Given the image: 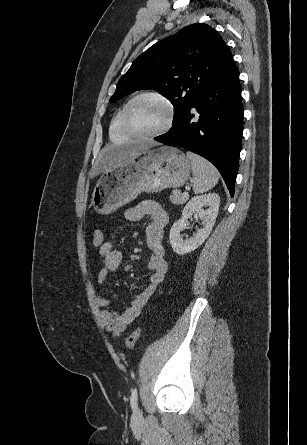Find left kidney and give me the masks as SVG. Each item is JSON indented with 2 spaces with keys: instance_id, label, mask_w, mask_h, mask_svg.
Segmentation results:
<instances>
[{
  "instance_id": "5707ae66",
  "label": "left kidney",
  "mask_w": 307,
  "mask_h": 445,
  "mask_svg": "<svg viewBox=\"0 0 307 445\" xmlns=\"http://www.w3.org/2000/svg\"><path fill=\"white\" fill-rule=\"evenodd\" d=\"M220 204V196L217 192H209V194H200V196H192L182 210V216L170 229V245L177 255H185L198 249L205 239L209 237L213 225H215L216 216L218 214ZM202 206H209L207 210H203ZM193 212H198V216L203 220V229H198L190 239H182L180 231L186 229L187 218L192 216Z\"/></svg>"
}]
</instances>
